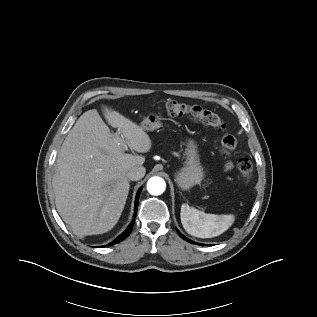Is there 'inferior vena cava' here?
<instances>
[{
    "label": "inferior vena cava",
    "instance_id": "inferior-vena-cava-1",
    "mask_svg": "<svg viewBox=\"0 0 317 317\" xmlns=\"http://www.w3.org/2000/svg\"><path fill=\"white\" fill-rule=\"evenodd\" d=\"M145 172L146 170L143 166H135L128 171L127 177L129 180L137 181L145 176Z\"/></svg>",
    "mask_w": 317,
    "mask_h": 317
}]
</instances>
